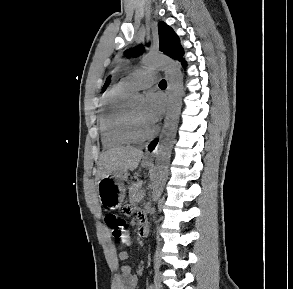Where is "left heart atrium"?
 Here are the masks:
<instances>
[{
  "instance_id": "obj_1",
  "label": "left heart atrium",
  "mask_w": 293,
  "mask_h": 289,
  "mask_svg": "<svg viewBox=\"0 0 293 289\" xmlns=\"http://www.w3.org/2000/svg\"><path fill=\"white\" fill-rule=\"evenodd\" d=\"M165 110L164 98L158 93H148L143 107V118L151 126H154Z\"/></svg>"
}]
</instances>
